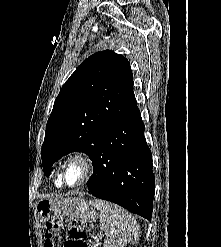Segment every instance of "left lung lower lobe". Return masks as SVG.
<instances>
[{"label":"left lung lower lobe","instance_id":"obj_1","mask_svg":"<svg viewBox=\"0 0 221 247\" xmlns=\"http://www.w3.org/2000/svg\"><path fill=\"white\" fill-rule=\"evenodd\" d=\"M144 129L139 110L112 122L92 159L87 186L93 196L151 220L155 178Z\"/></svg>","mask_w":221,"mask_h":247}]
</instances>
